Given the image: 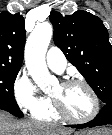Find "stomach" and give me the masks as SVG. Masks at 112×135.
I'll return each instance as SVG.
<instances>
[{
	"label": "stomach",
	"instance_id": "0dacf381",
	"mask_svg": "<svg viewBox=\"0 0 112 135\" xmlns=\"http://www.w3.org/2000/svg\"><path fill=\"white\" fill-rule=\"evenodd\" d=\"M100 132H94V131H81V132H76L74 135H109L106 129L99 130Z\"/></svg>",
	"mask_w": 112,
	"mask_h": 135
}]
</instances>
